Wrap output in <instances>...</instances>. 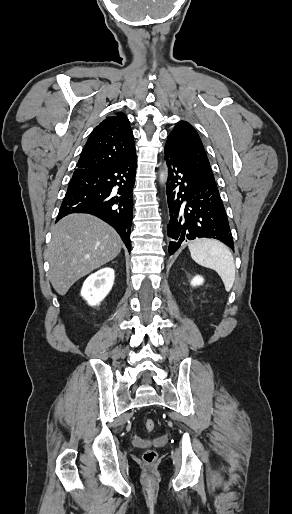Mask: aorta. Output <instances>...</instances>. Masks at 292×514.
I'll use <instances>...</instances> for the list:
<instances>
[{
    "label": "aorta",
    "instance_id": "762f6f07",
    "mask_svg": "<svg viewBox=\"0 0 292 514\" xmlns=\"http://www.w3.org/2000/svg\"><path fill=\"white\" fill-rule=\"evenodd\" d=\"M161 180H162V182H163V180H164V174H161Z\"/></svg>",
    "mask_w": 292,
    "mask_h": 514
}]
</instances>
